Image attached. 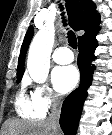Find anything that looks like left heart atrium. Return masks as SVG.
Returning <instances> with one entry per match:
<instances>
[{
    "mask_svg": "<svg viewBox=\"0 0 112 135\" xmlns=\"http://www.w3.org/2000/svg\"><path fill=\"white\" fill-rule=\"evenodd\" d=\"M79 75L74 66H57L51 73V81L54 89L59 94L71 91L78 83Z\"/></svg>",
    "mask_w": 112,
    "mask_h": 135,
    "instance_id": "1",
    "label": "left heart atrium"
}]
</instances>
